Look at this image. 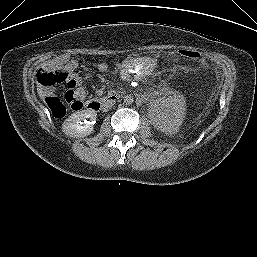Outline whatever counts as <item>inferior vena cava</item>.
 <instances>
[{"label": "inferior vena cava", "mask_w": 257, "mask_h": 257, "mask_svg": "<svg viewBox=\"0 0 257 257\" xmlns=\"http://www.w3.org/2000/svg\"><path fill=\"white\" fill-rule=\"evenodd\" d=\"M113 102L112 101H106L103 103V109L106 111L108 110L109 108H111L113 106Z\"/></svg>", "instance_id": "602c4592"}]
</instances>
